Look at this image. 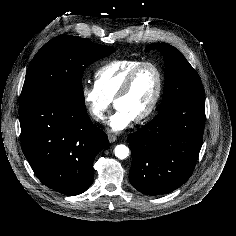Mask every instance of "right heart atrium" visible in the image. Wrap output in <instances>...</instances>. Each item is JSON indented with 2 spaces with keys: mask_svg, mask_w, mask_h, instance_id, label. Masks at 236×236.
I'll return each instance as SVG.
<instances>
[{
  "mask_svg": "<svg viewBox=\"0 0 236 236\" xmlns=\"http://www.w3.org/2000/svg\"><path fill=\"white\" fill-rule=\"evenodd\" d=\"M82 101L89 115L96 121L105 120L112 100L108 99L96 85V83L86 84L81 90Z\"/></svg>",
  "mask_w": 236,
  "mask_h": 236,
  "instance_id": "d8ad5b80",
  "label": "right heart atrium"
}]
</instances>
